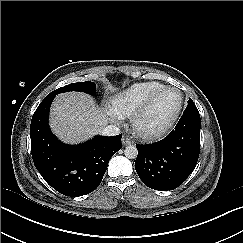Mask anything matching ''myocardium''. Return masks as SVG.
<instances>
[{
    "mask_svg": "<svg viewBox=\"0 0 243 243\" xmlns=\"http://www.w3.org/2000/svg\"><path fill=\"white\" fill-rule=\"evenodd\" d=\"M169 90H177L180 93V103L178 109L174 116L162 127L155 130H144L140 126V121L145 113L150 109L156 99L164 92ZM184 106V93L181 89L176 86H164L154 92L131 116L130 123L132 131L141 139L150 141L155 140L163 135H165L168 131H170L173 126L178 121Z\"/></svg>",
    "mask_w": 243,
    "mask_h": 243,
    "instance_id": "obj_1",
    "label": "myocardium"
}]
</instances>
